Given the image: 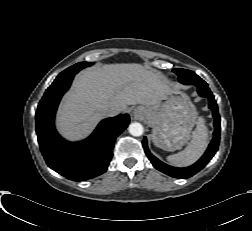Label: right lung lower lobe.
<instances>
[{
    "instance_id": "98d812e1",
    "label": "right lung lower lobe",
    "mask_w": 252,
    "mask_h": 231,
    "mask_svg": "<svg viewBox=\"0 0 252 231\" xmlns=\"http://www.w3.org/2000/svg\"><path fill=\"white\" fill-rule=\"evenodd\" d=\"M76 73H69L51 84L38 104L35 119L38 142L47 165L70 180L83 181L107 170L114 141L126 129L130 119L128 114L104 119L87 139L80 142L61 138L54 127V116Z\"/></svg>"
}]
</instances>
